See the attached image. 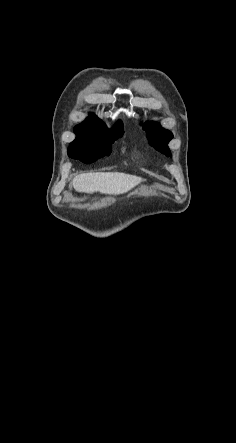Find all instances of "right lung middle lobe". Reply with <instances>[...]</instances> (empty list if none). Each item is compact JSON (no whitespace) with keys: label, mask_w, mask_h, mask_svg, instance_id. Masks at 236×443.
Instances as JSON below:
<instances>
[{"label":"right lung middle lobe","mask_w":236,"mask_h":443,"mask_svg":"<svg viewBox=\"0 0 236 443\" xmlns=\"http://www.w3.org/2000/svg\"><path fill=\"white\" fill-rule=\"evenodd\" d=\"M76 139L68 149L92 147L102 151H111V144L123 134L122 122L109 130L101 120H85L74 128Z\"/></svg>","instance_id":"right-lung-middle-lobe-1"}]
</instances>
